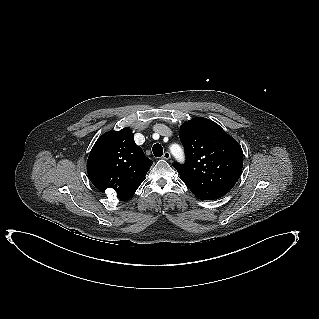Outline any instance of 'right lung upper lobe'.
I'll return each mask as SVG.
<instances>
[{
	"mask_svg": "<svg viewBox=\"0 0 319 319\" xmlns=\"http://www.w3.org/2000/svg\"><path fill=\"white\" fill-rule=\"evenodd\" d=\"M151 165L152 161L135 144L132 131L124 128L107 132L96 141L87 161V173L98 190L112 188L124 201L134 195Z\"/></svg>",
	"mask_w": 319,
	"mask_h": 319,
	"instance_id": "obj_1",
	"label": "right lung upper lobe"
}]
</instances>
